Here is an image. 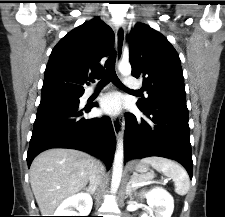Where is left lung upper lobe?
Here are the masks:
<instances>
[{
    "label": "left lung upper lobe",
    "mask_w": 225,
    "mask_h": 217,
    "mask_svg": "<svg viewBox=\"0 0 225 217\" xmlns=\"http://www.w3.org/2000/svg\"><path fill=\"white\" fill-rule=\"evenodd\" d=\"M132 76L143 78L142 97L136 103L149 108L155 103H186L183 71L171 43L150 26L138 23L129 36Z\"/></svg>",
    "instance_id": "5c2ea615"
}]
</instances>
